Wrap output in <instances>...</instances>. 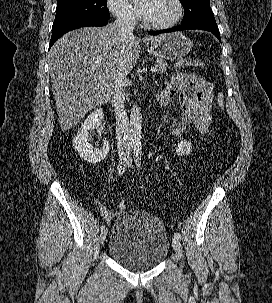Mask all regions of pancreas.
<instances>
[{
	"mask_svg": "<svg viewBox=\"0 0 272 303\" xmlns=\"http://www.w3.org/2000/svg\"><path fill=\"white\" fill-rule=\"evenodd\" d=\"M167 62L163 59H158L156 63L157 72L162 74L166 71Z\"/></svg>",
	"mask_w": 272,
	"mask_h": 303,
	"instance_id": "obj_1",
	"label": "pancreas"
}]
</instances>
